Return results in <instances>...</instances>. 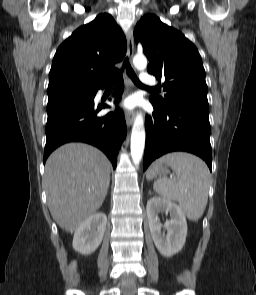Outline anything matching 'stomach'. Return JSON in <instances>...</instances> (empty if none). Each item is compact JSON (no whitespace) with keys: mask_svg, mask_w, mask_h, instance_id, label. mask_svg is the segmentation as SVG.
Wrapping results in <instances>:
<instances>
[{"mask_svg":"<svg viewBox=\"0 0 256 295\" xmlns=\"http://www.w3.org/2000/svg\"><path fill=\"white\" fill-rule=\"evenodd\" d=\"M157 172L164 175L168 172V169L166 166L160 165L157 169Z\"/></svg>","mask_w":256,"mask_h":295,"instance_id":"1","label":"stomach"}]
</instances>
